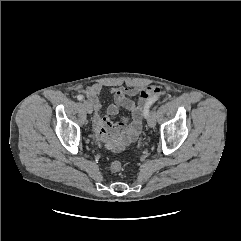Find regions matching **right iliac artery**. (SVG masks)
<instances>
[{"label": "right iliac artery", "mask_w": 241, "mask_h": 241, "mask_svg": "<svg viewBox=\"0 0 241 241\" xmlns=\"http://www.w3.org/2000/svg\"><path fill=\"white\" fill-rule=\"evenodd\" d=\"M77 99H78L79 101H82V100L84 99V97H83L82 95H78V96H77Z\"/></svg>", "instance_id": "82829eb1"}]
</instances>
